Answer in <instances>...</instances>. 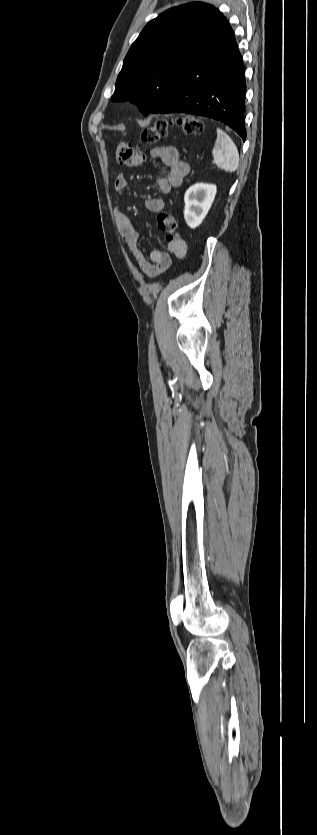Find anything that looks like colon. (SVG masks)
Instances as JSON below:
<instances>
[{
	"label": "colon",
	"instance_id": "colon-1",
	"mask_svg": "<svg viewBox=\"0 0 317 835\" xmlns=\"http://www.w3.org/2000/svg\"><path fill=\"white\" fill-rule=\"evenodd\" d=\"M177 124L181 127L184 133L197 134L202 131V124L193 117H182L177 120ZM171 122L167 120H160L152 126L146 128L141 134V142L144 145L154 144L166 137ZM117 161L125 166L134 167L140 164L144 159V153L139 147L132 144L120 141L116 147ZM156 222L159 230L164 233L168 240L174 239V233L177 229V220L169 211H160L157 214Z\"/></svg>",
	"mask_w": 317,
	"mask_h": 835
}]
</instances>
